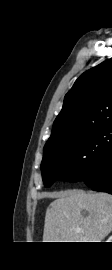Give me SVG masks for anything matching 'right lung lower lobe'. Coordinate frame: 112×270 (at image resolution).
Here are the masks:
<instances>
[{
	"instance_id": "obj_1",
	"label": "right lung lower lobe",
	"mask_w": 112,
	"mask_h": 270,
	"mask_svg": "<svg viewBox=\"0 0 112 270\" xmlns=\"http://www.w3.org/2000/svg\"><path fill=\"white\" fill-rule=\"evenodd\" d=\"M82 180L95 191L112 194V146L104 152L96 169Z\"/></svg>"
}]
</instances>
